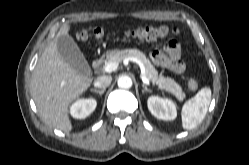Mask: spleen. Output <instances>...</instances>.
<instances>
[{
    "mask_svg": "<svg viewBox=\"0 0 249 165\" xmlns=\"http://www.w3.org/2000/svg\"><path fill=\"white\" fill-rule=\"evenodd\" d=\"M211 89L209 87L202 88L191 99H189L182 107V127L184 129H193L205 117L211 101Z\"/></svg>",
    "mask_w": 249,
    "mask_h": 165,
    "instance_id": "obj_1",
    "label": "spleen"
}]
</instances>
